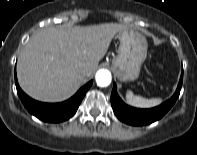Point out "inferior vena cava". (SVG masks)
Returning <instances> with one entry per match:
<instances>
[{"mask_svg": "<svg viewBox=\"0 0 197 155\" xmlns=\"http://www.w3.org/2000/svg\"><path fill=\"white\" fill-rule=\"evenodd\" d=\"M81 74H82V75H85V74H86V71H85V70H82V71H81Z\"/></svg>", "mask_w": 197, "mask_h": 155, "instance_id": "obj_1", "label": "inferior vena cava"}]
</instances>
